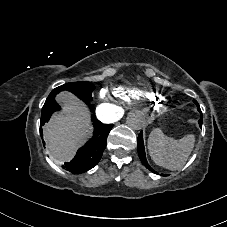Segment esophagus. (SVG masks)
I'll return each mask as SVG.
<instances>
[{
    "instance_id": "34e87169",
    "label": "esophagus",
    "mask_w": 227,
    "mask_h": 227,
    "mask_svg": "<svg viewBox=\"0 0 227 227\" xmlns=\"http://www.w3.org/2000/svg\"><path fill=\"white\" fill-rule=\"evenodd\" d=\"M154 118V113L152 111H147L145 115L142 116L141 121L143 124L148 125Z\"/></svg>"
}]
</instances>
